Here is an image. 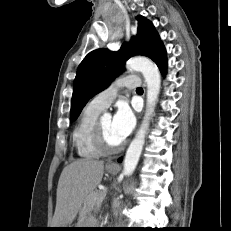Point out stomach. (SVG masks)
<instances>
[{
  "instance_id": "1",
  "label": "stomach",
  "mask_w": 231,
  "mask_h": 231,
  "mask_svg": "<svg viewBox=\"0 0 231 231\" xmlns=\"http://www.w3.org/2000/svg\"><path fill=\"white\" fill-rule=\"evenodd\" d=\"M106 170L110 174H116L119 171V168L118 167L112 168V167L106 166ZM87 225H88V220L85 219V220L80 221L78 226L74 228H90V227H86ZM58 228H73V227L65 226V227H58ZM56 230H70V229H56Z\"/></svg>"
}]
</instances>
